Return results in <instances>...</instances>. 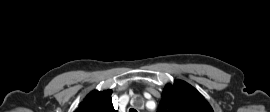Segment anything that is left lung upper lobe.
Listing matches in <instances>:
<instances>
[{"instance_id":"left-lung-upper-lobe-1","label":"left lung upper lobe","mask_w":270,"mask_h":112,"mask_svg":"<svg viewBox=\"0 0 270 112\" xmlns=\"http://www.w3.org/2000/svg\"><path fill=\"white\" fill-rule=\"evenodd\" d=\"M157 112H213L206 99L188 83L167 84Z\"/></svg>"}]
</instances>
